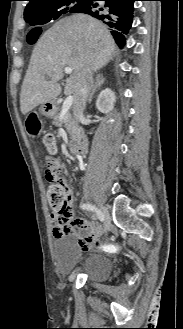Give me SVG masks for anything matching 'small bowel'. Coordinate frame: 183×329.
<instances>
[{"label": "small bowel", "instance_id": "small-bowel-1", "mask_svg": "<svg viewBox=\"0 0 183 329\" xmlns=\"http://www.w3.org/2000/svg\"><path fill=\"white\" fill-rule=\"evenodd\" d=\"M49 164L54 169H63L61 162L57 159L50 160ZM51 220L53 223V236L57 239L64 234H75L79 248L82 251L91 249L97 243L96 238L102 232V228L99 225L85 219H77L73 216L71 211H69L68 216L64 220L56 215H52ZM78 230L85 234H78Z\"/></svg>", "mask_w": 183, "mask_h": 329}]
</instances>
